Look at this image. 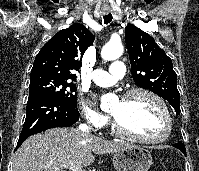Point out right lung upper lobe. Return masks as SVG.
<instances>
[{
	"instance_id": "right-lung-upper-lobe-1",
	"label": "right lung upper lobe",
	"mask_w": 199,
	"mask_h": 171,
	"mask_svg": "<svg viewBox=\"0 0 199 171\" xmlns=\"http://www.w3.org/2000/svg\"><path fill=\"white\" fill-rule=\"evenodd\" d=\"M94 42L92 33L82 24H73L56 33L37 54L30 77L49 75L76 80L85 50Z\"/></svg>"
}]
</instances>
